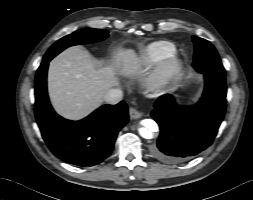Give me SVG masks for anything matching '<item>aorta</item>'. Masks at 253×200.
I'll list each match as a JSON object with an SVG mask.
<instances>
[{"instance_id":"762f6f07","label":"aorta","mask_w":253,"mask_h":200,"mask_svg":"<svg viewBox=\"0 0 253 200\" xmlns=\"http://www.w3.org/2000/svg\"><path fill=\"white\" fill-rule=\"evenodd\" d=\"M142 125L144 127L139 128L140 136L145 139H152L153 132L157 131V128H158L157 124L151 119H146L142 122Z\"/></svg>"}]
</instances>
